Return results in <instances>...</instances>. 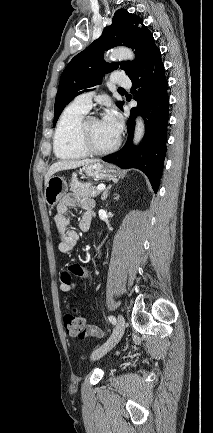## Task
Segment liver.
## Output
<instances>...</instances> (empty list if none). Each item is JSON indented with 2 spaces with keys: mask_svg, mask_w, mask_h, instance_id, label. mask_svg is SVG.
<instances>
[{
  "mask_svg": "<svg viewBox=\"0 0 213 433\" xmlns=\"http://www.w3.org/2000/svg\"><path fill=\"white\" fill-rule=\"evenodd\" d=\"M98 160L95 159H84L80 161H59L54 163L48 170L46 176H45V184H47L48 180L58 171L62 170H68V169H75L80 166H85L94 162H97Z\"/></svg>",
  "mask_w": 213,
  "mask_h": 433,
  "instance_id": "6515ba94",
  "label": "liver"
}]
</instances>
